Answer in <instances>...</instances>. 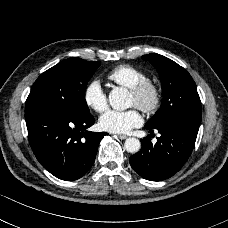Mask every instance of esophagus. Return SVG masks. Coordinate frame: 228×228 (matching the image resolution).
<instances>
[{
	"label": "esophagus",
	"mask_w": 228,
	"mask_h": 228,
	"mask_svg": "<svg viewBox=\"0 0 228 228\" xmlns=\"http://www.w3.org/2000/svg\"><path fill=\"white\" fill-rule=\"evenodd\" d=\"M118 138L121 139V140H124V139L127 138V136L126 135H118Z\"/></svg>",
	"instance_id": "obj_1"
}]
</instances>
